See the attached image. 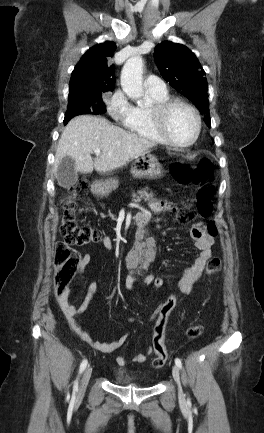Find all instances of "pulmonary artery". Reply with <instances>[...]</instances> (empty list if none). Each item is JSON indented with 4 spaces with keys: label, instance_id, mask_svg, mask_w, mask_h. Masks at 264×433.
Here are the masks:
<instances>
[{
    "label": "pulmonary artery",
    "instance_id": "e3ab8cb5",
    "mask_svg": "<svg viewBox=\"0 0 264 433\" xmlns=\"http://www.w3.org/2000/svg\"><path fill=\"white\" fill-rule=\"evenodd\" d=\"M145 86L149 92L163 94L167 92L165 82L157 76L150 75L145 79Z\"/></svg>",
    "mask_w": 264,
    "mask_h": 433
}]
</instances>
